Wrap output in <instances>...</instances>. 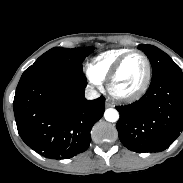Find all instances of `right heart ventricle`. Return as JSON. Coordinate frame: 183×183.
<instances>
[{"instance_id":"e07e8e85","label":"right heart ventricle","mask_w":183,"mask_h":183,"mask_svg":"<svg viewBox=\"0 0 183 183\" xmlns=\"http://www.w3.org/2000/svg\"><path fill=\"white\" fill-rule=\"evenodd\" d=\"M128 49L119 48L111 49L104 52H101L92 59V62L89 66L91 73L98 79H106L111 67L113 64L121 57Z\"/></svg>"}]
</instances>
